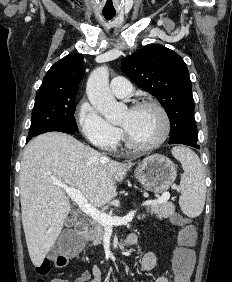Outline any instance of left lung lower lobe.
<instances>
[{
    "label": "left lung lower lobe",
    "mask_w": 232,
    "mask_h": 282,
    "mask_svg": "<svg viewBox=\"0 0 232 282\" xmlns=\"http://www.w3.org/2000/svg\"><path fill=\"white\" fill-rule=\"evenodd\" d=\"M169 144H184V145H189V146L195 147L196 149L200 148V146L197 145V141H183L174 132H172V134H171V137H170V140H169Z\"/></svg>",
    "instance_id": "1"
}]
</instances>
